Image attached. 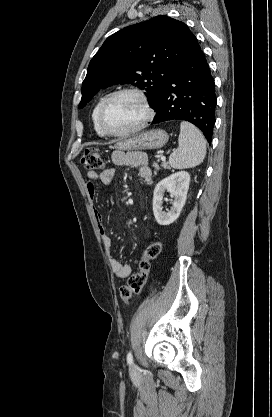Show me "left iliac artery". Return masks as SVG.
Listing matches in <instances>:
<instances>
[{
    "label": "left iliac artery",
    "mask_w": 272,
    "mask_h": 417,
    "mask_svg": "<svg viewBox=\"0 0 272 417\" xmlns=\"http://www.w3.org/2000/svg\"><path fill=\"white\" fill-rule=\"evenodd\" d=\"M127 362H128L129 365H131L132 362H133V356H132L131 352H128V354H127Z\"/></svg>",
    "instance_id": "obj_1"
}]
</instances>
